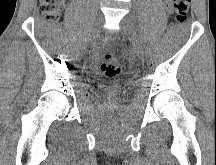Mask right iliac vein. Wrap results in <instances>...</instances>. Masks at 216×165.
<instances>
[{
	"label": "right iliac vein",
	"instance_id": "63e3f726",
	"mask_svg": "<svg viewBox=\"0 0 216 165\" xmlns=\"http://www.w3.org/2000/svg\"><path fill=\"white\" fill-rule=\"evenodd\" d=\"M103 23V17H100L98 22H97V26L93 31L92 37H91V42H95L99 35H100V30H101V24Z\"/></svg>",
	"mask_w": 216,
	"mask_h": 165
}]
</instances>
